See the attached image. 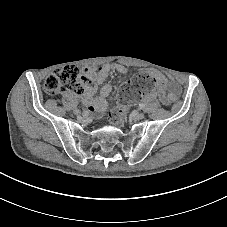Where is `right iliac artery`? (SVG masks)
<instances>
[{
    "label": "right iliac artery",
    "instance_id": "right-iliac-artery-1",
    "mask_svg": "<svg viewBox=\"0 0 227 227\" xmlns=\"http://www.w3.org/2000/svg\"><path fill=\"white\" fill-rule=\"evenodd\" d=\"M90 114H91L90 111L87 110V109L81 111V116H82V117H86V118H87V117L90 116Z\"/></svg>",
    "mask_w": 227,
    "mask_h": 227
}]
</instances>
